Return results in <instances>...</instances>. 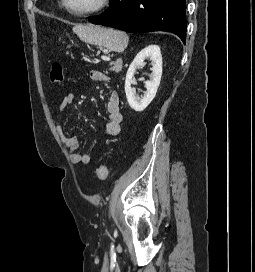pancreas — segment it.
<instances>
[{
	"mask_svg": "<svg viewBox=\"0 0 255 272\" xmlns=\"http://www.w3.org/2000/svg\"><path fill=\"white\" fill-rule=\"evenodd\" d=\"M110 69L116 73L122 70V63L120 61H116L110 64Z\"/></svg>",
	"mask_w": 255,
	"mask_h": 272,
	"instance_id": "cf45deb5",
	"label": "pancreas"
}]
</instances>
